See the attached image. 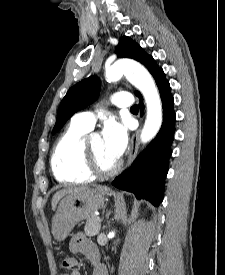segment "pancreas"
<instances>
[{"mask_svg":"<svg viewBox=\"0 0 225 275\" xmlns=\"http://www.w3.org/2000/svg\"><path fill=\"white\" fill-rule=\"evenodd\" d=\"M97 219H98V216L93 214L86 221L84 232L90 237L96 236L100 232L101 224Z\"/></svg>","mask_w":225,"mask_h":275,"instance_id":"pancreas-1","label":"pancreas"}]
</instances>
